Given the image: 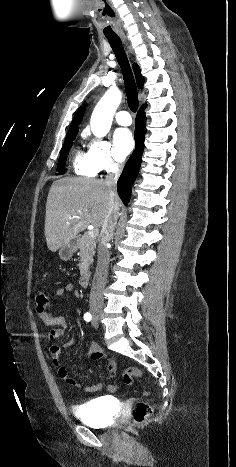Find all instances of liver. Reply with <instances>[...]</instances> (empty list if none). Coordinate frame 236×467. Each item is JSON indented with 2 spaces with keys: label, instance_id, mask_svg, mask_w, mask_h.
I'll return each instance as SVG.
<instances>
[{
  "label": "liver",
  "instance_id": "6515ba94",
  "mask_svg": "<svg viewBox=\"0 0 236 467\" xmlns=\"http://www.w3.org/2000/svg\"><path fill=\"white\" fill-rule=\"evenodd\" d=\"M110 199V191L104 180L62 178L53 182L45 215V237L49 250L56 252L89 225L100 228L108 213ZM113 201L119 208L117 194Z\"/></svg>",
  "mask_w": 236,
  "mask_h": 467
}]
</instances>
